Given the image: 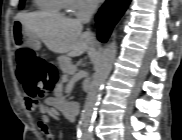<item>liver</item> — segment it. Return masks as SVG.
I'll list each match as a JSON object with an SVG mask.
<instances>
[{
	"instance_id": "6515ba94",
	"label": "liver",
	"mask_w": 182,
	"mask_h": 140,
	"mask_svg": "<svg viewBox=\"0 0 182 140\" xmlns=\"http://www.w3.org/2000/svg\"><path fill=\"white\" fill-rule=\"evenodd\" d=\"M17 19L22 23L26 32L41 39L54 53H67L71 57L80 56L92 50L96 44L91 32H82V23L60 13H20Z\"/></svg>"
}]
</instances>
